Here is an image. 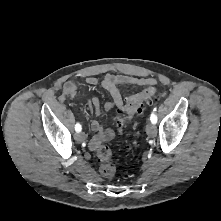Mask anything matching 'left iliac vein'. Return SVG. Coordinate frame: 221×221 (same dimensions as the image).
I'll list each match as a JSON object with an SVG mask.
<instances>
[{
    "instance_id": "left-iliac-vein-1",
    "label": "left iliac vein",
    "mask_w": 221,
    "mask_h": 221,
    "mask_svg": "<svg viewBox=\"0 0 221 221\" xmlns=\"http://www.w3.org/2000/svg\"><path fill=\"white\" fill-rule=\"evenodd\" d=\"M146 132L149 137H155L157 134V128L154 124L148 123L146 126Z\"/></svg>"
}]
</instances>
